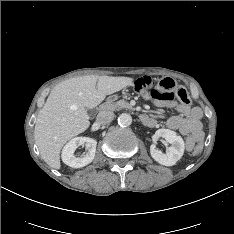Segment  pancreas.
Returning <instances> with one entry per match:
<instances>
[{"instance_id": "1", "label": "pancreas", "mask_w": 234, "mask_h": 234, "mask_svg": "<svg viewBox=\"0 0 234 234\" xmlns=\"http://www.w3.org/2000/svg\"><path fill=\"white\" fill-rule=\"evenodd\" d=\"M123 108L132 109V106L125 100H119L117 102L107 101L103 105V109L110 111H118Z\"/></svg>"}]
</instances>
